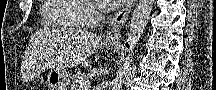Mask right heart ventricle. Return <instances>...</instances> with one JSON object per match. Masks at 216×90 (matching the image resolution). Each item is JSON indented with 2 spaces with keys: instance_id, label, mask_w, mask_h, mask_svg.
<instances>
[{
  "instance_id": "1",
  "label": "right heart ventricle",
  "mask_w": 216,
  "mask_h": 90,
  "mask_svg": "<svg viewBox=\"0 0 216 90\" xmlns=\"http://www.w3.org/2000/svg\"><path fill=\"white\" fill-rule=\"evenodd\" d=\"M41 7L43 14V28H86L83 19H75V15H81L84 11L83 4H77L76 0H43Z\"/></svg>"
}]
</instances>
